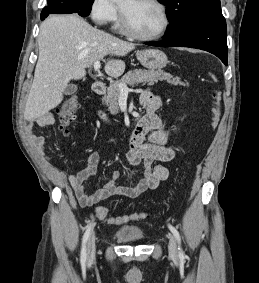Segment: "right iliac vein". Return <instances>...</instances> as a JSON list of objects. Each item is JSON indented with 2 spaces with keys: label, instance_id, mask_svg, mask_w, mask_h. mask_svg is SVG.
<instances>
[{
  "label": "right iliac vein",
  "instance_id": "1",
  "mask_svg": "<svg viewBox=\"0 0 259 283\" xmlns=\"http://www.w3.org/2000/svg\"><path fill=\"white\" fill-rule=\"evenodd\" d=\"M95 243H96V233L93 232L88 239L87 255L89 260L93 259L95 256V250H96Z\"/></svg>",
  "mask_w": 259,
  "mask_h": 283
}]
</instances>
